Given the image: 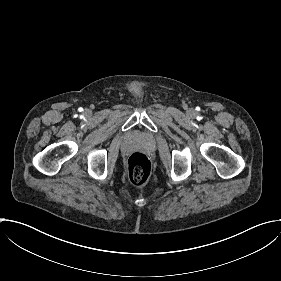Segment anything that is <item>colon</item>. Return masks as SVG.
Masks as SVG:
<instances>
[{
	"label": "colon",
	"instance_id": "5ec220e1",
	"mask_svg": "<svg viewBox=\"0 0 281 281\" xmlns=\"http://www.w3.org/2000/svg\"><path fill=\"white\" fill-rule=\"evenodd\" d=\"M127 174L134 186L143 187L151 174V162L143 153L135 152L127 160Z\"/></svg>",
	"mask_w": 281,
	"mask_h": 281
}]
</instances>
